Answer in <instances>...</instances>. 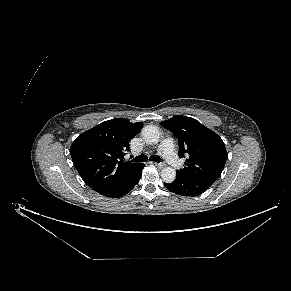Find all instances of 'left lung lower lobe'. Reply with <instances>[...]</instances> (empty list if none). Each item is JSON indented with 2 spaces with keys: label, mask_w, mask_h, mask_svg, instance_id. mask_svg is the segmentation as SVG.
<instances>
[{
  "label": "left lung lower lobe",
  "mask_w": 291,
  "mask_h": 291,
  "mask_svg": "<svg viewBox=\"0 0 291 291\" xmlns=\"http://www.w3.org/2000/svg\"><path fill=\"white\" fill-rule=\"evenodd\" d=\"M215 181L214 178L190 179L177 173L172 183H164V185L175 194L194 197L205 192Z\"/></svg>",
  "instance_id": "1"
}]
</instances>
